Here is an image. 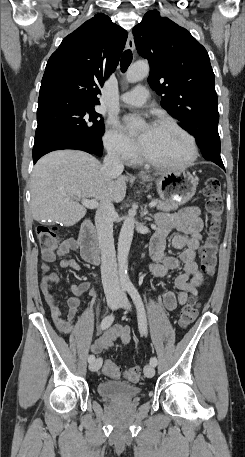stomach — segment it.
<instances>
[{"label": "stomach", "mask_w": 245, "mask_h": 457, "mask_svg": "<svg viewBox=\"0 0 245 457\" xmlns=\"http://www.w3.org/2000/svg\"><path fill=\"white\" fill-rule=\"evenodd\" d=\"M146 180V178H144ZM158 194L165 202L184 204L192 198L198 184L195 176L187 170H171L164 172L155 180Z\"/></svg>", "instance_id": "stomach-1"}]
</instances>
